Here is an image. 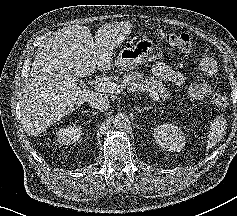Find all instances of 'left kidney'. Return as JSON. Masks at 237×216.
Listing matches in <instances>:
<instances>
[{
	"mask_svg": "<svg viewBox=\"0 0 237 216\" xmlns=\"http://www.w3.org/2000/svg\"><path fill=\"white\" fill-rule=\"evenodd\" d=\"M155 142L166 151L180 152L184 146V138L179 128L172 124H163L156 127Z\"/></svg>",
	"mask_w": 237,
	"mask_h": 216,
	"instance_id": "left-kidney-1",
	"label": "left kidney"
}]
</instances>
